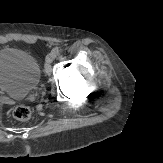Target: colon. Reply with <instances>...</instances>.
I'll use <instances>...</instances> for the list:
<instances>
[{
	"label": "colon",
	"instance_id": "colon-1",
	"mask_svg": "<svg viewBox=\"0 0 163 163\" xmlns=\"http://www.w3.org/2000/svg\"><path fill=\"white\" fill-rule=\"evenodd\" d=\"M13 116L17 120H27L31 116V110L29 107H27L25 105H19V106L15 107V109L13 111Z\"/></svg>",
	"mask_w": 163,
	"mask_h": 163
}]
</instances>
